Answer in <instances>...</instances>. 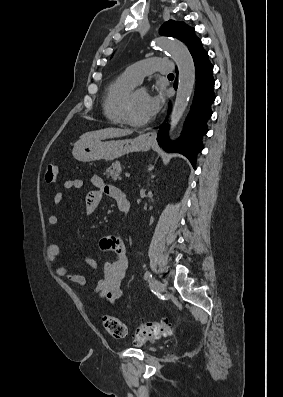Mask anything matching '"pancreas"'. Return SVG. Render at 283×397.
Masks as SVG:
<instances>
[{
	"label": "pancreas",
	"mask_w": 283,
	"mask_h": 397,
	"mask_svg": "<svg viewBox=\"0 0 283 397\" xmlns=\"http://www.w3.org/2000/svg\"><path fill=\"white\" fill-rule=\"evenodd\" d=\"M106 171H107V178H112L114 181L122 179L121 177L122 169L119 161L112 163L111 166L106 169Z\"/></svg>",
	"instance_id": "cf45deb5"
}]
</instances>
